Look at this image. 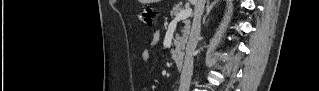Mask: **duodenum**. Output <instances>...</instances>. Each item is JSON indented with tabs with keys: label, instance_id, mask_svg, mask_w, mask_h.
I'll return each instance as SVG.
<instances>
[{
	"label": "duodenum",
	"instance_id": "duodenum-1",
	"mask_svg": "<svg viewBox=\"0 0 319 91\" xmlns=\"http://www.w3.org/2000/svg\"><path fill=\"white\" fill-rule=\"evenodd\" d=\"M173 60L176 63L177 67L181 69L184 65V55L182 52H174L173 55Z\"/></svg>",
	"mask_w": 319,
	"mask_h": 91
}]
</instances>
